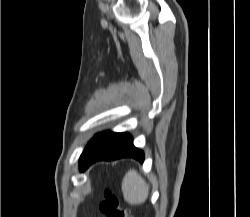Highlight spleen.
<instances>
[{"label":"spleen","instance_id":"obj_1","mask_svg":"<svg viewBox=\"0 0 250 217\" xmlns=\"http://www.w3.org/2000/svg\"><path fill=\"white\" fill-rule=\"evenodd\" d=\"M121 187L125 201L131 205L143 204L148 198L149 185L134 169L125 174Z\"/></svg>","mask_w":250,"mask_h":217}]
</instances>
